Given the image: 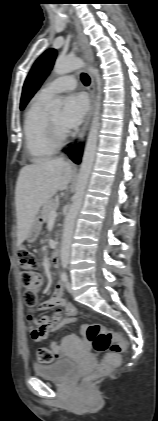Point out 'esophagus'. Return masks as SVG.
I'll return each instance as SVG.
<instances>
[{"label":"esophagus","mask_w":158,"mask_h":421,"mask_svg":"<svg viewBox=\"0 0 158 421\" xmlns=\"http://www.w3.org/2000/svg\"><path fill=\"white\" fill-rule=\"evenodd\" d=\"M74 18V23L76 26V31H77V35H78V42H79V46L81 49V52L83 54V57L85 59V61L87 62L88 65H93L94 63V54H93V50L91 48V46L89 45L88 42V38L87 36L84 34L82 26L80 24V22L75 18ZM89 76H90V85H89V94H90V107L89 110L87 112V115L85 117L83 126L78 134V143H82L83 138L85 136V133L89 127L90 124V120L92 117V113L94 110V105H95V81H94V77L92 75L91 72H89Z\"/></svg>","instance_id":"esophagus-1"}]
</instances>
